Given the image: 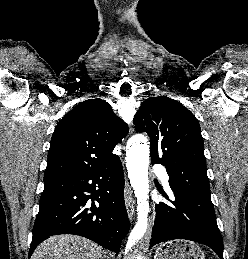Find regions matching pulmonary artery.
<instances>
[{"mask_svg": "<svg viewBox=\"0 0 248 259\" xmlns=\"http://www.w3.org/2000/svg\"><path fill=\"white\" fill-rule=\"evenodd\" d=\"M153 169H154L155 172H157L161 175V179H162L163 184L166 187H169V182H168L169 176L165 172L164 168L161 165H155Z\"/></svg>", "mask_w": 248, "mask_h": 259, "instance_id": "1", "label": "pulmonary artery"}]
</instances>
